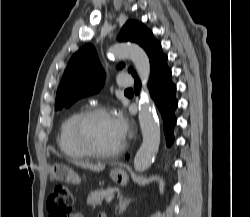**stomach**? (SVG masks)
<instances>
[{"mask_svg":"<svg viewBox=\"0 0 250 217\" xmlns=\"http://www.w3.org/2000/svg\"><path fill=\"white\" fill-rule=\"evenodd\" d=\"M51 175L55 180L79 184L81 179L79 176L67 165L64 164H54L51 167ZM111 179L116 183H125L128 180L127 173L122 168H114L110 172Z\"/></svg>","mask_w":250,"mask_h":217,"instance_id":"stomach-1","label":"stomach"}]
</instances>
